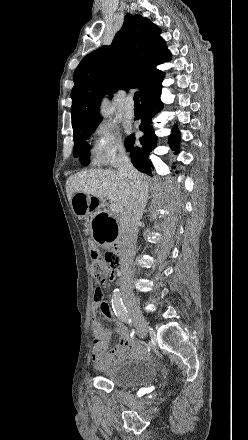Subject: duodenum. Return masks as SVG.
Instances as JSON below:
<instances>
[{"instance_id": "1", "label": "duodenum", "mask_w": 248, "mask_h": 440, "mask_svg": "<svg viewBox=\"0 0 248 440\" xmlns=\"http://www.w3.org/2000/svg\"><path fill=\"white\" fill-rule=\"evenodd\" d=\"M112 249L116 255H118V256L122 255V247H121L120 240L116 241V244H115V246L112 247ZM117 273H120V271H118Z\"/></svg>"}]
</instances>
